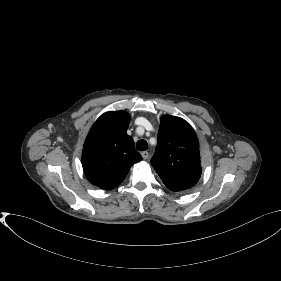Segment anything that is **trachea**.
Returning a JSON list of instances; mask_svg holds the SVG:
<instances>
[{
  "mask_svg": "<svg viewBox=\"0 0 281 281\" xmlns=\"http://www.w3.org/2000/svg\"><path fill=\"white\" fill-rule=\"evenodd\" d=\"M148 148V143L146 140H139L136 144V149L138 151H145Z\"/></svg>",
  "mask_w": 281,
  "mask_h": 281,
  "instance_id": "obj_1",
  "label": "trachea"
}]
</instances>
